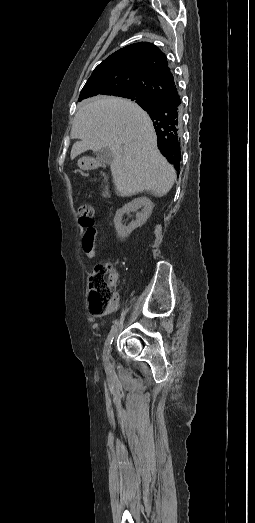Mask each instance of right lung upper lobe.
<instances>
[{
  "label": "right lung upper lobe",
  "mask_w": 255,
  "mask_h": 523,
  "mask_svg": "<svg viewBox=\"0 0 255 523\" xmlns=\"http://www.w3.org/2000/svg\"><path fill=\"white\" fill-rule=\"evenodd\" d=\"M127 90H140L148 94L154 104L144 108L153 121L157 134L158 148L176 170L181 161L180 118L181 108L173 114H166L158 120L151 117L153 108L166 101L180 103L174 76L165 54L155 45L140 42L128 45L100 63L84 85L81 101L116 96Z\"/></svg>",
  "instance_id": "1"
}]
</instances>
